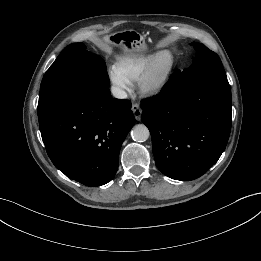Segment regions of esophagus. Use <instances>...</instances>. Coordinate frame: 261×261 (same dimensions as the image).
Listing matches in <instances>:
<instances>
[{
  "instance_id": "obj_1",
  "label": "esophagus",
  "mask_w": 261,
  "mask_h": 261,
  "mask_svg": "<svg viewBox=\"0 0 261 261\" xmlns=\"http://www.w3.org/2000/svg\"><path fill=\"white\" fill-rule=\"evenodd\" d=\"M132 111H133L135 119L137 121H139L141 119V115H142V110L139 107V105L138 104H133L132 105Z\"/></svg>"
}]
</instances>
